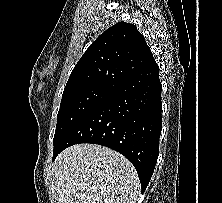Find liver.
<instances>
[{
    "label": "liver",
    "instance_id": "6515ba94",
    "mask_svg": "<svg viewBox=\"0 0 222 203\" xmlns=\"http://www.w3.org/2000/svg\"><path fill=\"white\" fill-rule=\"evenodd\" d=\"M58 203H136L140 181L131 162L109 148L77 144L54 165Z\"/></svg>",
    "mask_w": 222,
    "mask_h": 203
}]
</instances>
